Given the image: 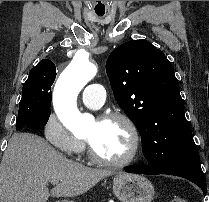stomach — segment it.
I'll list each match as a JSON object with an SVG mask.
<instances>
[{
  "label": "stomach",
  "mask_w": 209,
  "mask_h": 202,
  "mask_svg": "<svg viewBox=\"0 0 209 202\" xmlns=\"http://www.w3.org/2000/svg\"><path fill=\"white\" fill-rule=\"evenodd\" d=\"M113 192L121 202H151L155 190L144 176L122 173L113 180Z\"/></svg>",
  "instance_id": "stomach-1"
}]
</instances>
